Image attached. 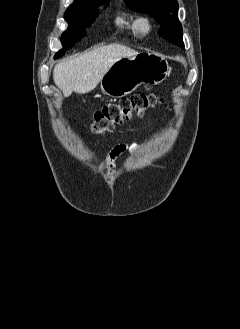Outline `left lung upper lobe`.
<instances>
[{
  "label": "left lung upper lobe",
  "mask_w": 240,
  "mask_h": 329,
  "mask_svg": "<svg viewBox=\"0 0 240 329\" xmlns=\"http://www.w3.org/2000/svg\"><path fill=\"white\" fill-rule=\"evenodd\" d=\"M137 12L152 14L161 23L158 34L169 42L183 47L182 26L178 20V3L176 0H124Z\"/></svg>",
  "instance_id": "left-lung-upper-lobe-1"
}]
</instances>
